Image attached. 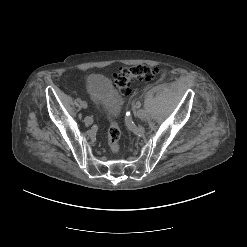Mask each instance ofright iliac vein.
<instances>
[{
    "mask_svg": "<svg viewBox=\"0 0 247 247\" xmlns=\"http://www.w3.org/2000/svg\"><path fill=\"white\" fill-rule=\"evenodd\" d=\"M84 122L86 125H91L93 123V119L92 117L87 116L85 117Z\"/></svg>",
    "mask_w": 247,
    "mask_h": 247,
    "instance_id": "63e3f726",
    "label": "right iliac vein"
}]
</instances>
